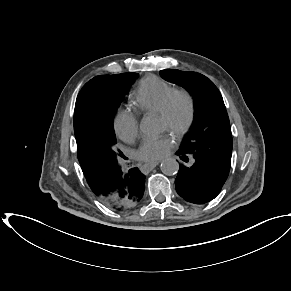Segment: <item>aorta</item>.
<instances>
[{
	"label": "aorta",
	"instance_id": "762f6f07",
	"mask_svg": "<svg viewBox=\"0 0 291 291\" xmlns=\"http://www.w3.org/2000/svg\"><path fill=\"white\" fill-rule=\"evenodd\" d=\"M140 131L144 134L153 133V127L148 122H142L140 124ZM161 171L168 176L175 175L179 170V164L174 158H167L161 162Z\"/></svg>",
	"mask_w": 291,
	"mask_h": 291
}]
</instances>
